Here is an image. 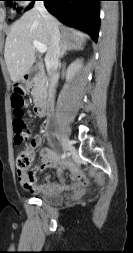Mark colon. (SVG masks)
I'll return each mask as SVG.
<instances>
[{"label":"colon","instance_id":"obj_1","mask_svg":"<svg viewBox=\"0 0 133 253\" xmlns=\"http://www.w3.org/2000/svg\"><path fill=\"white\" fill-rule=\"evenodd\" d=\"M24 106L25 100L22 94L18 91L12 96V107L14 113L13 130H14V142L16 144L26 143L30 141L32 137L31 128L23 118ZM31 162H32V152L29 149H26L22 151L17 157L16 161L17 168L20 170H26L31 165Z\"/></svg>","mask_w":133,"mask_h":253}]
</instances>
